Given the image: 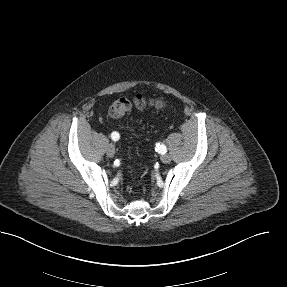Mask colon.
Returning a JSON list of instances; mask_svg holds the SVG:
<instances>
[{
  "label": "colon",
  "mask_w": 287,
  "mask_h": 287,
  "mask_svg": "<svg viewBox=\"0 0 287 287\" xmlns=\"http://www.w3.org/2000/svg\"><path fill=\"white\" fill-rule=\"evenodd\" d=\"M166 105L165 100L159 98H146L142 95H136L132 98H118L110 106L109 114L113 118H121L132 108L143 109L149 106L161 108Z\"/></svg>",
  "instance_id": "obj_1"
}]
</instances>
